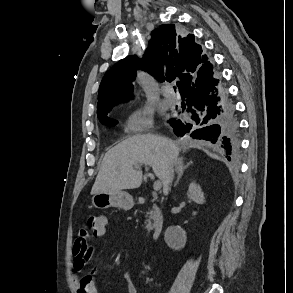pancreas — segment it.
<instances>
[{
  "label": "pancreas",
  "instance_id": "1",
  "mask_svg": "<svg viewBox=\"0 0 293 293\" xmlns=\"http://www.w3.org/2000/svg\"><path fill=\"white\" fill-rule=\"evenodd\" d=\"M154 208H155V206H154ZM149 214H151V216H152V212H149ZM146 223H147V228H148V230H150V229H151V222H150V219H147V220H146Z\"/></svg>",
  "mask_w": 293,
  "mask_h": 293
}]
</instances>
